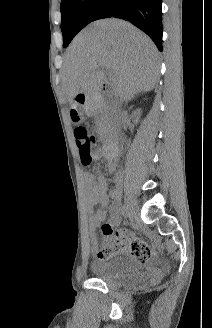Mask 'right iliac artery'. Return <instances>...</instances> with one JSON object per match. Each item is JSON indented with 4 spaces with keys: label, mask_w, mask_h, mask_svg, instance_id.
Wrapping results in <instances>:
<instances>
[{
    "label": "right iliac artery",
    "mask_w": 212,
    "mask_h": 328,
    "mask_svg": "<svg viewBox=\"0 0 212 328\" xmlns=\"http://www.w3.org/2000/svg\"><path fill=\"white\" fill-rule=\"evenodd\" d=\"M122 214L126 217L128 215V210L125 205L122 206Z\"/></svg>",
    "instance_id": "82829eb1"
}]
</instances>
